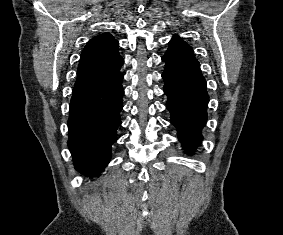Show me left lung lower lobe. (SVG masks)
Listing matches in <instances>:
<instances>
[{"instance_id":"left-lung-lower-lobe-1","label":"left lung lower lobe","mask_w":283,"mask_h":235,"mask_svg":"<svg viewBox=\"0 0 283 235\" xmlns=\"http://www.w3.org/2000/svg\"><path fill=\"white\" fill-rule=\"evenodd\" d=\"M162 78L170 122L177 128L184 149L192 153L201 142L200 131L207 121L206 81L199 67L170 62H166Z\"/></svg>"}]
</instances>
